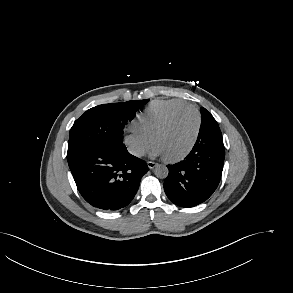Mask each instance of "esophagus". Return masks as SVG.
Returning a JSON list of instances; mask_svg holds the SVG:
<instances>
[{"mask_svg":"<svg viewBox=\"0 0 293 293\" xmlns=\"http://www.w3.org/2000/svg\"><path fill=\"white\" fill-rule=\"evenodd\" d=\"M147 166H148L149 169H153V168H155L157 166V163L152 162V161H148Z\"/></svg>","mask_w":293,"mask_h":293,"instance_id":"1","label":"esophagus"}]
</instances>
